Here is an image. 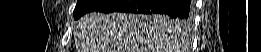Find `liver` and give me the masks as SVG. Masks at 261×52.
Listing matches in <instances>:
<instances>
[{
    "label": "liver",
    "instance_id": "6515ba94",
    "mask_svg": "<svg viewBox=\"0 0 261 52\" xmlns=\"http://www.w3.org/2000/svg\"><path fill=\"white\" fill-rule=\"evenodd\" d=\"M165 16L89 13L79 21L81 52H178L186 26Z\"/></svg>",
    "mask_w": 261,
    "mask_h": 52
}]
</instances>
